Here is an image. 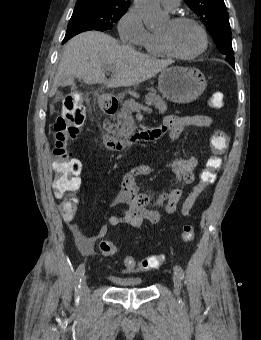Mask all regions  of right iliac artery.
Masks as SVG:
<instances>
[{
	"label": "right iliac artery",
	"mask_w": 261,
	"mask_h": 340,
	"mask_svg": "<svg viewBox=\"0 0 261 340\" xmlns=\"http://www.w3.org/2000/svg\"><path fill=\"white\" fill-rule=\"evenodd\" d=\"M85 273V265L81 264L77 268L75 272V278H74V288H75V302L76 304L79 303L80 295H81V281L82 277Z\"/></svg>",
	"instance_id": "1"
}]
</instances>
